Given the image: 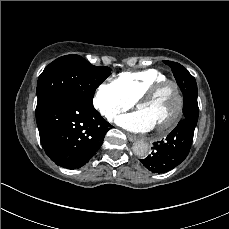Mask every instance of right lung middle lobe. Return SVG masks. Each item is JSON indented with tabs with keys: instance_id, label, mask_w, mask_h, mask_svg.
<instances>
[{
	"instance_id": "obj_1",
	"label": "right lung middle lobe",
	"mask_w": 229,
	"mask_h": 229,
	"mask_svg": "<svg viewBox=\"0 0 229 229\" xmlns=\"http://www.w3.org/2000/svg\"><path fill=\"white\" fill-rule=\"evenodd\" d=\"M111 74L79 55L62 56L50 63L38 78L36 115L62 96H74L93 104L96 88Z\"/></svg>"
}]
</instances>
